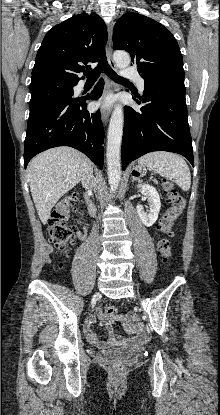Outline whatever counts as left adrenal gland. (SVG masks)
Listing matches in <instances>:
<instances>
[{
    "label": "left adrenal gland",
    "mask_w": 220,
    "mask_h": 415,
    "mask_svg": "<svg viewBox=\"0 0 220 415\" xmlns=\"http://www.w3.org/2000/svg\"><path fill=\"white\" fill-rule=\"evenodd\" d=\"M131 178H132V181H134V180H136V179H137V178H135L134 176H132Z\"/></svg>",
    "instance_id": "left-adrenal-gland-1"
}]
</instances>
